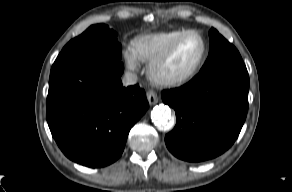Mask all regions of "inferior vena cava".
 Instances as JSON below:
<instances>
[{"label": "inferior vena cava", "mask_w": 292, "mask_h": 192, "mask_svg": "<svg viewBox=\"0 0 292 192\" xmlns=\"http://www.w3.org/2000/svg\"><path fill=\"white\" fill-rule=\"evenodd\" d=\"M122 83L124 86L134 85L137 83V75L132 72H126L122 78Z\"/></svg>", "instance_id": "obj_1"}]
</instances>
